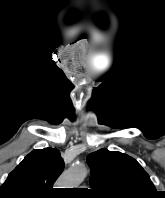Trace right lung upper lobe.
<instances>
[{
    "instance_id": "cb5924a9",
    "label": "right lung upper lobe",
    "mask_w": 165,
    "mask_h": 198,
    "mask_svg": "<svg viewBox=\"0 0 165 198\" xmlns=\"http://www.w3.org/2000/svg\"><path fill=\"white\" fill-rule=\"evenodd\" d=\"M60 152L53 148L34 150L12 171L1 186L4 194L24 198H45L63 171Z\"/></svg>"
}]
</instances>
